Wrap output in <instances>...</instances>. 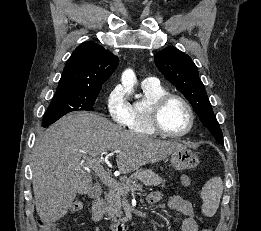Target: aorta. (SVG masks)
Returning <instances> with one entry per match:
<instances>
[{
    "label": "aorta",
    "mask_w": 261,
    "mask_h": 231,
    "mask_svg": "<svg viewBox=\"0 0 261 231\" xmlns=\"http://www.w3.org/2000/svg\"><path fill=\"white\" fill-rule=\"evenodd\" d=\"M135 79H136V76H135V73L133 72V70L127 69L122 74L121 82L124 87L132 89Z\"/></svg>",
    "instance_id": "obj_1"
}]
</instances>
